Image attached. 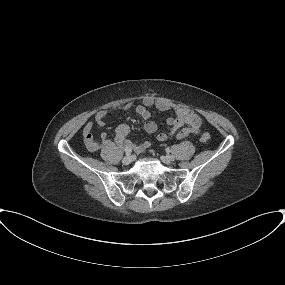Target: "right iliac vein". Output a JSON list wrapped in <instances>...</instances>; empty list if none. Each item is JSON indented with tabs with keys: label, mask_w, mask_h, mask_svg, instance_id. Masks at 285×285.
Instances as JSON below:
<instances>
[{
	"label": "right iliac vein",
	"mask_w": 285,
	"mask_h": 285,
	"mask_svg": "<svg viewBox=\"0 0 285 285\" xmlns=\"http://www.w3.org/2000/svg\"><path fill=\"white\" fill-rule=\"evenodd\" d=\"M133 160H134V157H133V156L127 155V156H125V157L122 159V163H123L124 165H129L130 163L133 162Z\"/></svg>",
	"instance_id": "right-iliac-vein-1"
}]
</instances>
